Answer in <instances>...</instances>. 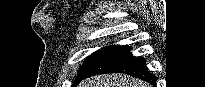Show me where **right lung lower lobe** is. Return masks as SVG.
Instances as JSON below:
<instances>
[{"label":"right lung lower lobe","mask_w":205,"mask_h":87,"mask_svg":"<svg viewBox=\"0 0 205 87\" xmlns=\"http://www.w3.org/2000/svg\"><path fill=\"white\" fill-rule=\"evenodd\" d=\"M130 49L128 46H119L96 63L83 79L103 73H126L156 86L157 78L148 72L145 59L134 57Z\"/></svg>","instance_id":"98d812e1"}]
</instances>
